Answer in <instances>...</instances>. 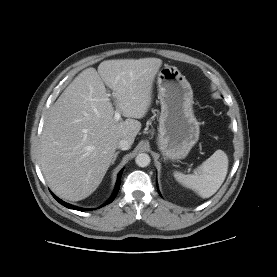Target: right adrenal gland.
I'll use <instances>...</instances> for the list:
<instances>
[{"label": "right adrenal gland", "mask_w": 277, "mask_h": 277, "mask_svg": "<svg viewBox=\"0 0 277 277\" xmlns=\"http://www.w3.org/2000/svg\"><path fill=\"white\" fill-rule=\"evenodd\" d=\"M119 153H120V151H117V152L115 153L114 158H113V160H112V162H111V165L114 164V162L116 161L117 156H118Z\"/></svg>", "instance_id": "right-adrenal-gland-1"}]
</instances>
